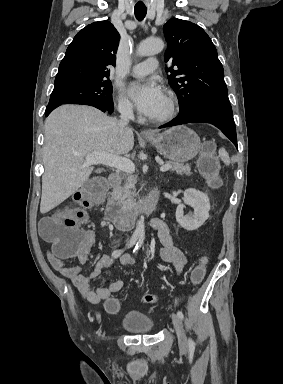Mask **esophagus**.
Instances as JSON below:
<instances>
[{"instance_id": "1", "label": "esophagus", "mask_w": 283, "mask_h": 384, "mask_svg": "<svg viewBox=\"0 0 283 384\" xmlns=\"http://www.w3.org/2000/svg\"><path fill=\"white\" fill-rule=\"evenodd\" d=\"M141 135H142L143 137H152V136H154L155 134H154L153 131H150V130H142Z\"/></svg>"}]
</instances>
